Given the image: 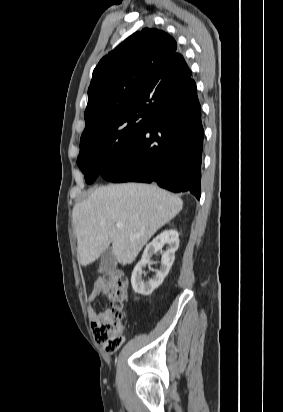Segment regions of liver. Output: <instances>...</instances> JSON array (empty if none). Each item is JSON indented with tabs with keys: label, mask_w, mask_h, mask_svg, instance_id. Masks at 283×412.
<instances>
[{
	"label": "liver",
	"mask_w": 283,
	"mask_h": 412,
	"mask_svg": "<svg viewBox=\"0 0 283 412\" xmlns=\"http://www.w3.org/2000/svg\"><path fill=\"white\" fill-rule=\"evenodd\" d=\"M183 201L156 185L126 183L98 187L75 204L72 218L82 266L96 261L112 244L121 265L131 264L149 239L172 220ZM122 223L117 228L116 223Z\"/></svg>",
	"instance_id": "obj_1"
}]
</instances>
